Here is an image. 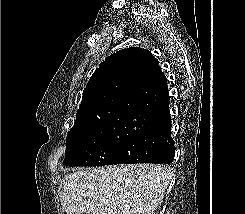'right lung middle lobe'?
<instances>
[{"instance_id":"1","label":"right lung middle lobe","mask_w":245,"mask_h":214,"mask_svg":"<svg viewBox=\"0 0 245 214\" xmlns=\"http://www.w3.org/2000/svg\"><path fill=\"white\" fill-rule=\"evenodd\" d=\"M127 134V127H116L98 132H69L63 164L90 167L117 164L119 161L117 148Z\"/></svg>"}]
</instances>
